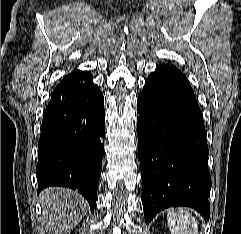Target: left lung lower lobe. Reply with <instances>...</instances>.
Returning a JSON list of instances; mask_svg holds the SVG:
<instances>
[{
	"instance_id": "1",
	"label": "left lung lower lobe",
	"mask_w": 241,
	"mask_h": 234,
	"mask_svg": "<svg viewBox=\"0 0 241 234\" xmlns=\"http://www.w3.org/2000/svg\"><path fill=\"white\" fill-rule=\"evenodd\" d=\"M137 135L145 222L168 207L210 217L208 146L202 112L185 75L158 65L137 100Z\"/></svg>"
}]
</instances>
